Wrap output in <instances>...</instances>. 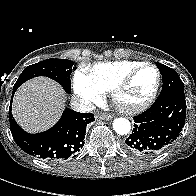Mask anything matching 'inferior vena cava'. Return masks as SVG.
I'll list each match as a JSON object with an SVG mask.
<instances>
[{"label": "inferior vena cava", "instance_id": "602c4592", "mask_svg": "<svg viewBox=\"0 0 196 196\" xmlns=\"http://www.w3.org/2000/svg\"><path fill=\"white\" fill-rule=\"evenodd\" d=\"M71 108L77 112L86 113L95 109L92 102L79 96H74L71 100Z\"/></svg>", "mask_w": 196, "mask_h": 196}]
</instances>
